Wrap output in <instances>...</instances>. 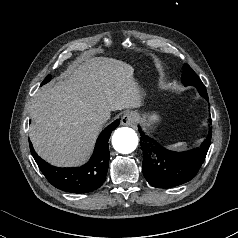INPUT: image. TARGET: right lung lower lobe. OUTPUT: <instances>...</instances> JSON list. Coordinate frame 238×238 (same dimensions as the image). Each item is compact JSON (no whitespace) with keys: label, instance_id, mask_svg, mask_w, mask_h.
Wrapping results in <instances>:
<instances>
[{"label":"right lung lower lobe","instance_id":"obj_1","mask_svg":"<svg viewBox=\"0 0 238 238\" xmlns=\"http://www.w3.org/2000/svg\"><path fill=\"white\" fill-rule=\"evenodd\" d=\"M116 120L105 128L99 135L92 157L87 164L75 168H57L42 160L34 151L30 150L39 169L47 180L56 188L71 193H88L98 189L106 180L109 163L108 140L111 132L118 126Z\"/></svg>","mask_w":238,"mask_h":238}]
</instances>
